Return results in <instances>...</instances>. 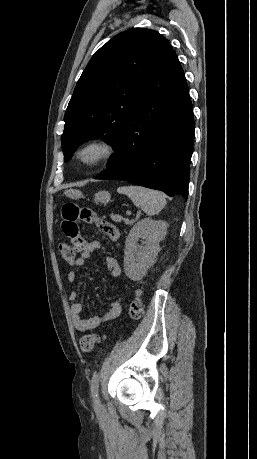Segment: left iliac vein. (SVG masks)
<instances>
[{"label":"left iliac vein","mask_w":257,"mask_h":459,"mask_svg":"<svg viewBox=\"0 0 257 459\" xmlns=\"http://www.w3.org/2000/svg\"><path fill=\"white\" fill-rule=\"evenodd\" d=\"M94 405L96 408L100 406L99 400L97 398L94 399Z\"/></svg>","instance_id":"left-iliac-vein-1"}]
</instances>
